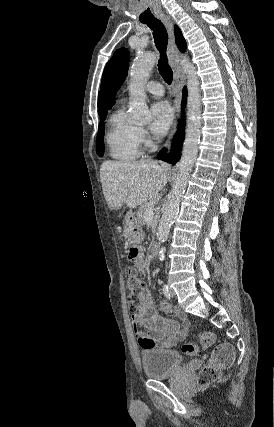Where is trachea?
Returning a JSON list of instances; mask_svg holds the SVG:
<instances>
[{
    "mask_svg": "<svg viewBox=\"0 0 274 427\" xmlns=\"http://www.w3.org/2000/svg\"><path fill=\"white\" fill-rule=\"evenodd\" d=\"M141 23H146V25H148V27H150L151 30H153L154 42H155L156 48L160 53V58L158 61V70L162 78L165 80V82L170 85L172 82L173 73H172L171 67H169L168 59L166 55L167 43H168L167 30L164 27L161 20H158L155 17H152L147 20H143Z\"/></svg>",
    "mask_w": 274,
    "mask_h": 427,
    "instance_id": "1",
    "label": "trachea"
}]
</instances>
